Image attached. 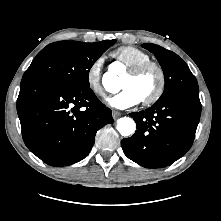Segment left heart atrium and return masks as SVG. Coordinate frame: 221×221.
Segmentation results:
<instances>
[{
	"instance_id": "obj_1",
	"label": "left heart atrium",
	"mask_w": 221,
	"mask_h": 221,
	"mask_svg": "<svg viewBox=\"0 0 221 221\" xmlns=\"http://www.w3.org/2000/svg\"><path fill=\"white\" fill-rule=\"evenodd\" d=\"M111 106L117 109H126L141 102L139 95L132 88H123L120 92L108 99Z\"/></svg>"
}]
</instances>
